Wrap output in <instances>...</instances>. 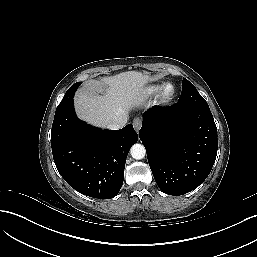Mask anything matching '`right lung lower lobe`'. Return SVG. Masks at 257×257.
Listing matches in <instances>:
<instances>
[{
	"instance_id": "1",
	"label": "right lung lower lobe",
	"mask_w": 257,
	"mask_h": 257,
	"mask_svg": "<svg viewBox=\"0 0 257 257\" xmlns=\"http://www.w3.org/2000/svg\"><path fill=\"white\" fill-rule=\"evenodd\" d=\"M138 135L132 124L102 130L77 118L73 102L55 112L51 147L64 180L79 193L98 199L115 197L123 184L130 147Z\"/></svg>"
}]
</instances>
